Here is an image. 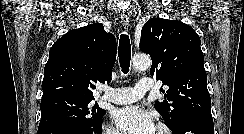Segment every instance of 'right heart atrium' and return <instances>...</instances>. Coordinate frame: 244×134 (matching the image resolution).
<instances>
[{"label": "right heart atrium", "mask_w": 244, "mask_h": 134, "mask_svg": "<svg viewBox=\"0 0 244 134\" xmlns=\"http://www.w3.org/2000/svg\"><path fill=\"white\" fill-rule=\"evenodd\" d=\"M104 134H121V133L111 125H107L104 129Z\"/></svg>", "instance_id": "right-heart-atrium-1"}]
</instances>
